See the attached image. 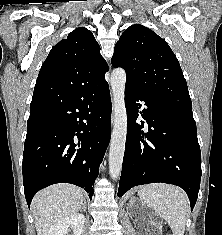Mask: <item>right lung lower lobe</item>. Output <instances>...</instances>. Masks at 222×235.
Masks as SVG:
<instances>
[{
  "mask_svg": "<svg viewBox=\"0 0 222 235\" xmlns=\"http://www.w3.org/2000/svg\"><path fill=\"white\" fill-rule=\"evenodd\" d=\"M33 101L51 119L27 128L22 172L28 206L55 183L77 185L93 196L94 180L111 136V98L105 77L65 91L35 88Z\"/></svg>",
  "mask_w": 222,
  "mask_h": 235,
  "instance_id": "obj_1",
  "label": "right lung lower lobe"
}]
</instances>
